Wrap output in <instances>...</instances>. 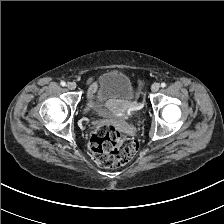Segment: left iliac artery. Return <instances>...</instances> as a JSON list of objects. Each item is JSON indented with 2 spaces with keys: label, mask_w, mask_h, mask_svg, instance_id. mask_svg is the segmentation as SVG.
Masks as SVG:
<instances>
[{
  "label": "left iliac artery",
  "mask_w": 224,
  "mask_h": 224,
  "mask_svg": "<svg viewBox=\"0 0 224 224\" xmlns=\"http://www.w3.org/2000/svg\"><path fill=\"white\" fill-rule=\"evenodd\" d=\"M161 87H166V83L165 82H163V83H161Z\"/></svg>",
  "instance_id": "obj_1"
}]
</instances>
